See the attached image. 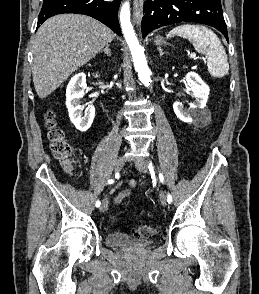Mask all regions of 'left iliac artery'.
Wrapping results in <instances>:
<instances>
[{"label":"left iliac artery","mask_w":259,"mask_h":294,"mask_svg":"<svg viewBox=\"0 0 259 294\" xmlns=\"http://www.w3.org/2000/svg\"><path fill=\"white\" fill-rule=\"evenodd\" d=\"M149 170H153V166L152 163L150 162L149 166H148ZM159 179L160 181L163 183L164 182V177L161 173H159ZM172 196L170 194L167 195V202L170 204L172 202Z\"/></svg>","instance_id":"obj_1"}]
</instances>
